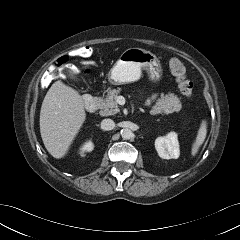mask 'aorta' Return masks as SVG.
I'll list each match as a JSON object with an SVG mask.
<instances>
[{
  "instance_id": "aorta-1",
  "label": "aorta",
  "mask_w": 240,
  "mask_h": 240,
  "mask_svg": "<svg viewBox=\"0 0 240 240\" xmlns=\"http://www.w3.org/2000/svg\"><path fill=\"white\" fill-rule=\"evenodd\" d=\"M121 136L124 140H128L132 138L133 132L130 129L125 128L121 131Z\"/></svg>"
}]
</instances>
